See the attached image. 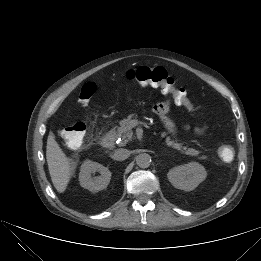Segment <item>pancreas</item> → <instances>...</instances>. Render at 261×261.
<instances>
[{
    "label": "pancreas",
    "instance_id": "cf45deb5",
    "mask_svg": "<svg viewBox=\"0 0 261 261\" xmlns=\"http://www.w3.org/2000/svg\"><path fill=\"white\" fill-rule=\"evenodd\" d=\"M131 118L132 116H129L127 119H124L120 122V127L117 128L116 133L117 136L122 138V144H126L129 140L132 139V124H131ZM167 134L166 132H163L161 134V137H165ZM166 143L169 147L176 149L180 151L181 153L189 156H198L200 160H206V156H199L200 152L193 148H188L186 146H183L182 143H179L177 141L171 140L170 137H166Z\"/></svg>",
    "mask_w": 261,
    "mask_h": 261
}]
</instances>
